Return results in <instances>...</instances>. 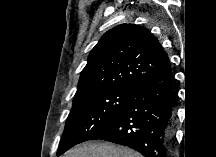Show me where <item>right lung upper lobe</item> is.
Masks as SVG:
<instances>
[{
    "mask_svg": "<svg viewBox=\"0 0 216 157\" xmlns=\"http://www.w3.org/2000/svg\"><path fill=\"white\" fill-rule=\"evenodd\" d=\"M168 62L167 54L149 30L135 24L118 25L107 31L91 50L74 100L95 91L134 87Z\"/></svg>",
    "mask_w": 216,
    "mask_h": 157,
    "instance_id": "obj_1",
    "label": "right lung upper lobe"
}]
</instances>
